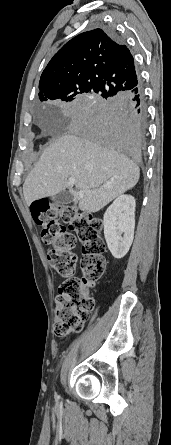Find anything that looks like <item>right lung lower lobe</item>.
Wrapping results in <instances>:
<instances>
[{
  "mask_svg": "<svg viewBox=\"0 0 171 445\" xmlns=\"http://www.w3.org/2000/svg\"><path fill=\"white\" fill-rule=\"evenodd\" d=\"M146 114L140 85L125 95H103V99L89 110L93 126L91 136L129 158L139 160Z\"/></svg>",
  "mask_w": 171,
  "mask_h": 445,
  "instance_id": "1",
  "label": "right lung lower lobe"
}]
</instances>
